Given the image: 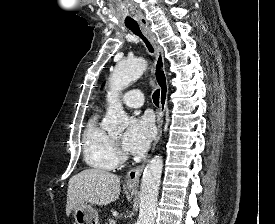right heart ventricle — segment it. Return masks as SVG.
I'll return each mask as SVG.
<instances>
[{
	"label": "right heart ventricle",
	"mask_w": 275,
	"mask_h": 224,
	"mask_svg": "<svg viewBox=\"0 0 275 224\" xmlns=\"http://www.w3.org/2000/svg\"><path fill=\"white\" fill-rule=\"evenodd\" d=\"M83 155L88 166L113 170L119 164L113 139L100 125V112H94L83 133Z\"/></svg>",
	"instance_id": "right-heart-ventricle-1"
}]
</instances>
